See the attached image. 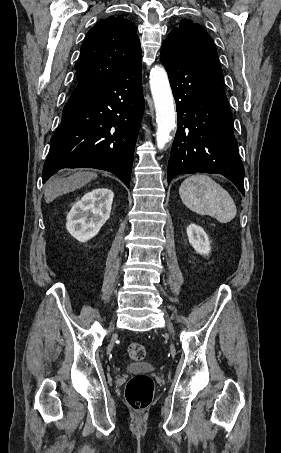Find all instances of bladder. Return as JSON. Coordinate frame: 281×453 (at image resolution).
Segmentation results:
<instances>
[{"instance_id":"31cf9c89","label":"bladder","mask_w":281,"mask_h":453,"mask_svg":"<svg viewBox=\"0 0 281 453\" xmlns=\"http://www.w3.org/2000/svg\"><path fill=\"white\" fill-rule=\"evenodd\" d=\"M128 370L136 373H148L153 370V368L146 363H135L128 366Z\"/></svg>"}]
</instances>
